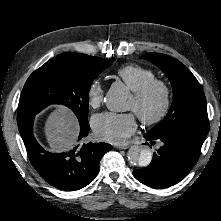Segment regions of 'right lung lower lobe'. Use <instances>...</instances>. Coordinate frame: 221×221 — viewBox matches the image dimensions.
I'll return each instance as SVG.
<instances>
[{"instance_id":"obj_1","label":"right lung lower lobe","mask_w":221,"mask_h":221,"mask_svg":"<svg viewBox=\"0 0 221 221\" xmlns=\"http://www.w3.org/2000/svg\"><path fill=\"white\" fill-rule=\"evenodd\" d=\"M34 117L18 123L20 135L26 147L30 162L40 176L60 190H79L94 180L99 172V163L103 155L112 149L110 144L86 143L76 145L67 153L45 151L33 135ZM78 140L88 135L90 126L80 123Z\"/></svg>"}]
</instances>
